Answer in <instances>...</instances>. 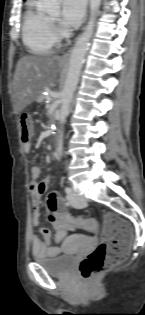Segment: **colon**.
Segmentation results:
<instances>
[{
	"instance_id": "1",
	"label": "colon",
	"mask_w": 145,
	"mask_h": 315,
	"mask_svg": "<svg viewBox=\"0 0 145 315\" xmlns=\"http://www.w3.org/2000/svg\"><path fill=\"white\" fill-rule=\"evenodd\" d=\"M21 138L24 143L33 136V118L28 113L20 116ZM47 210L52 222L61 219L76 228L94 232L97 223L93 219L70 216L55 194L47 198ZM104 231L102 240L96 249L85 257L78 268L80 276L85 280L93 279L100 273L115 267L127 255L132 241L130 225L113 213H106L103 217Z\"/></svg>"
}]
</instances>
